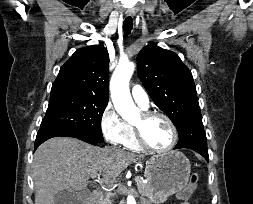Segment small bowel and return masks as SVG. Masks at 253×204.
<instances>
[{"mask_svg":"<svg viewBox=\"0 0 253 204\" xmlns=\"http://www.w3.org/2000/svg\"><path fill=\"white\" fill-rule=\"evenodd\" d=\"M181 204H189L188 202H182Z\"/></svg>","mask_w":253,"mask_h":204,"instance_id":"small-bowel-1","label":"small bowel"}]
</instances>
